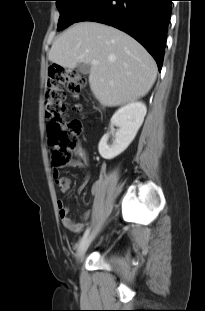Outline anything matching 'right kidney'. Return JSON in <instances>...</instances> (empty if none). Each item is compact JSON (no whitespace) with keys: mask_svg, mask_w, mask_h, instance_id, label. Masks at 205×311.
<instances>
[{"mask_svg":"<svg viewBox=\"0 0 205 311\" xmlns=\"http://www.w3.org/2000/svg\"><path fill=\"white\" fill-rule=\"evenodd\" d=\"M146 112L144 103L133 101L114 113L110 122L111 130L101 138L98 145L99 153L104 159H113L126 150L142 125ZM114 126L119 127L116 132ZM110 134L115 137L112 145L107 144Z\"/></svg>","mask_w":205,"mask_h":311,"instance_id":"right-kidney-1","label":"right kidney"}]
</instances>
